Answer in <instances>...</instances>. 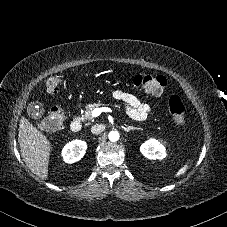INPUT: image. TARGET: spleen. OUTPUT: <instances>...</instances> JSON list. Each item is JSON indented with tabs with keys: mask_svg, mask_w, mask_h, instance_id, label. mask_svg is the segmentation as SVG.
Masks as SVG:
<instances>
[{
	"mask_svg": "<svg viewBox=\"0 0 227 227\" xmlns=\"http://www.w3.org/2000/svg\"><path fill=\"white\" fill-rule=\"evenodd\" d=\"M191 159H188L187 162L176 172L175 177L183 175L188 168L190 167Z\"/></svg>",
	"mask_w": 227,
	"mask_h": 227,
	"instance_id": "spleen-1",
	"label": "spleen"
}]
</instances>
